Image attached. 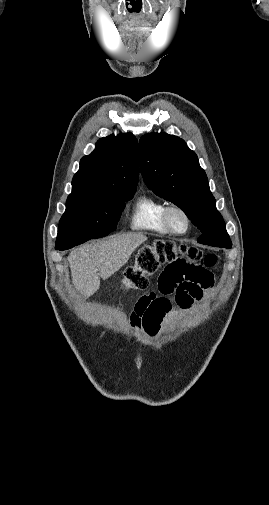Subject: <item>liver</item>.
I'll use <instances>...</instances> for the list:
<instances>
[{
  "instance_id": "obj_1",
  "label": "liver",
  "mask_w": 269,
  "mask_h": 505,
  "mask_svg": "<svg viewBox=\"0 0 269 505\" xmlns=\"http://www.w3.org/2000/svg\"><path fill=\"white\" fill-rule=\"evenodd\" d=\"M145 241L147 237L141 233H127L75 249L68 256L74 286L85 298L90 297L99 289L100 277L105 280L117 272Z\"/></svg>"
}]
</instances>
